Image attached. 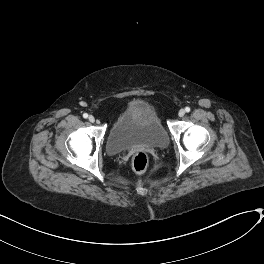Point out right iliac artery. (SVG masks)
I'll return each mask as SVG.
<instances>
[{"label": "right iliac artery", "instance_id": "1", "mask_svg": "<svg viewBox=\"0 0 264 264\" xmlns=\"http://www.w3.org/2000/svg\"><path fill=\"white\" fill-rule=\"evenodd\" d=\"M83 117H84V118H88V114H87V113H84V114H83Z\"/></svg>", "mask_w": 264, "mask_h": 264}]
</instances>
